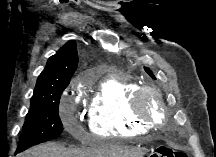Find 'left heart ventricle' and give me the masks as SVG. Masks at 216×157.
<instances>
[{
    "instance_id": "1",
    "label": "left heart ventricle",
    "mask_w": 216,
    "mask_h": 157,
    "mask_svg": "<svg viewBox=\"0 0 216 157\" xmlns=\"http://www.w3.org/2000/svg\"><path fill=\"white\" fill-rule=\"evenodd\" d=\"M148 105H149V110L153 114L158 115L160 113V109H159L158 105L154 101H152L151 99L149 100Z\"/></svg>"
}]
</instances>
